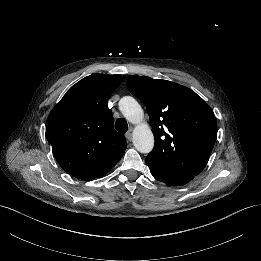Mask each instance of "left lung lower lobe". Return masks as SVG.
Instances as JSON below:
<instances>
[{
	"label": "left lung lower lobe",
	"instance_id": "0a47b994",
	"mask_svg": "<svg viewBox=\"0 0 261 261\" xmlns=\"http://www.w3.org/2000/svg\"><path fill=\"white\" fill-rule=\"evenodd\" d=\"M151 174L158 180L166 183L168 186H182L191 181L196 175L184 174L168 170L167 168L146 159Z\"/></svg>",
	"mask_w": 261,
	"mask_h": 261
}]
</instances>
